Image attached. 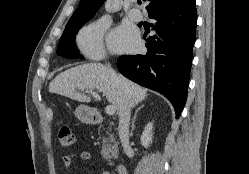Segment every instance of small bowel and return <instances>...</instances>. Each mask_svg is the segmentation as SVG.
<instances>
[{
  "mask_svg": "<svg viewBox=\"0 0 249 174\" xmlns=\"http://www.w3.org/2000/svg\"><path fill=\"white\" fill-rule=\"evenodd\" d=\"M76 156V153H71L64 155L62 158L63 166L66 170H68L71 167V164L73 162L74 157ZM79 158L83 161H90L91 160V154L87 151L80 152L78 154ZM101 174H109L108 171H102Z\"/></svg>",
  "mask_w": 249,
  "mask_h": 174,
  "instance_id": "obj_1",
  "label": "small bowel"
}]
</instances>
